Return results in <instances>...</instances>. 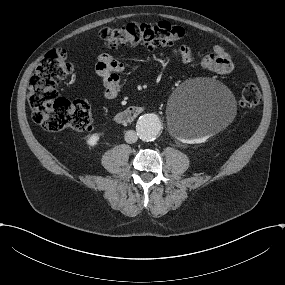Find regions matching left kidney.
<instances>
[{"label":"left kidney","mask_w":285,"mask_h":285,"mask_svg":"<svg viewBox=\"0 0 285 285\" xmlns=\"http://www.w3.org/2000/svg\"><path fill=\"white\" fill-rule=\"evenodd\" d=\"M204 140H206V138L202 137V138H199V139H195L194 141H195V142H202V141H204Z\"/></svg>","instance_id":"1"}]
</instances>
